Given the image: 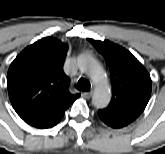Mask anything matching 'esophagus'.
<instances>
[{
  "instance_id": "34e87169",
  "label": "esophagus",
  "mask_w": 165,
  "mask_h": 154,
  "mask_svg": "<svg viewBox=\"0 0 165 154\" xmlns=\"http://www.w3.org/2000/svg\"><path fill=\"white\" fill-rule=\"evenodd\" d=\"M86 98H90L92 96V91L84 93Z\"/></svg>"
}]
</instances>
